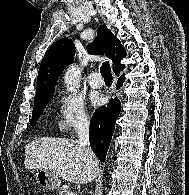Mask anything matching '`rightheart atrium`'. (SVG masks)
<instances>
[{
    "label": "right heart atrium",
    "instance_id": "d8ad5b80",
    "mask_svg": "<svg viewBox=\"0 0 189 195\" xmlns=\"http://www.w3.org/2000/svg\"><path fill=\"white\" fill-rule=\"evenodd\" d=\"M57 104V130L59 132H74L89 124V114L80 96L73 93H59Z\"/></svg>",
    "mask_w": 189,
    "mask_h": 195
}]
</instances>
